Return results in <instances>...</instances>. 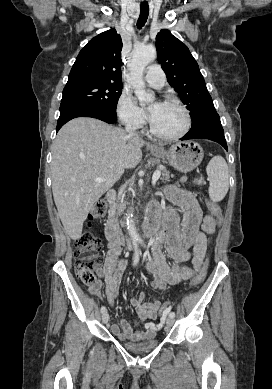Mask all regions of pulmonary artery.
<instances>
[{
  "label": "pulmonary artery",
  "mask_w": 272,
  "mask_h": 389,
  "mask_svg": "<svg viewBox=\"0 0 272 389\" xmlns=\"http://www.w3.org/2000/svg\"><path fill=\"white\" fill-rule=\"evenodd\" d=\"M166 76L160 65L151 64L147 67L145 81L154 88L163 87Z\"/></svg>",
  "instance_id": "e3ab8cb5"
}]
</instances>
